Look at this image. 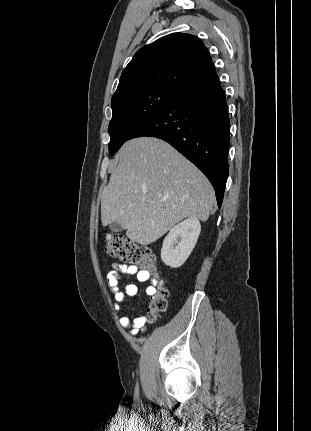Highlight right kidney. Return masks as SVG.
<instances>
[{
	"label": "right kidney",
	"mask_w": 311,
	"mask_h": 431,
	"mask_svg": "<svg viewBox=\"0 0 311 431\" xmlns=\"http://www.w3.org/2000/svg\"><path fill=\"white\" fill-rule=\"evenodd\" d=\"M201 225L197 217H188L170 229L163 241L161 259L165 265L180 267L197 243Z\"/></svg>",
	"instance_id": "right-kidney-1"
}]
</instances>
